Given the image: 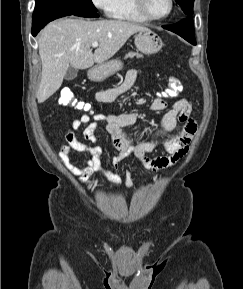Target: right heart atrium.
Returning a JSON list of instances; mask_svg holds the SVG:
<instances>
[{
	"label": "right heart atrium",
	"mask_w": 243,
	"mask_h": 289,
	"mask_svg": "<svg viewBox=\"0 0 243 289\" xmlns=\"http://www.w3.org/2000/svg\"><path fill=\"white\" fill-rule=\"evenodd\" d=\"M92 3L100 10L109 12L113 0H91Z\"/></svg>",
	"instance_id": "obj_1"
}]
</instances>
